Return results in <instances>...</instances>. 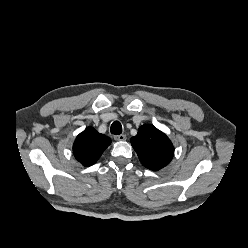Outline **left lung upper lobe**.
<instances>
[{
	"mask_svg": "<svg viewBox=\"0 0 248 248\" xmlns=\"http://www.w3.org/2000/svg\"><path fill=\"white\" fill-rule=\"evenodd\" d=\"M140 162L146 168L157 171L170 163L174 147L169 138L154 125H142L136 136L131 138Z\"/></svg>",
	"mask_w": 248,
	"mask_h": 248,
	"instance_id": "obj_1",
	"label": "left lung upper lobe"
}]
</instances>
